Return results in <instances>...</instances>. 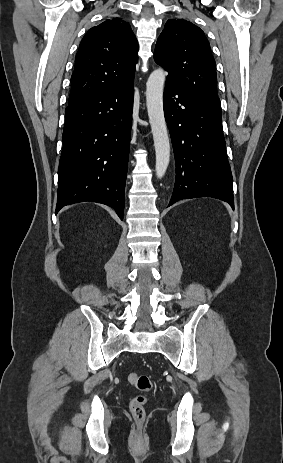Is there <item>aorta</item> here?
I'll return each mask as SVG.
<instances>
[{"instance_id":"obj_1","label":"aorta","mask_w":283,"mask_h":463,"mask_svg":"<svg viewBox=\"0 0 283 463\" xmlns=\"http://www.w3.org/2000/svg\"><path fill=\"white\" fill-rule=\"evenodd\" d=\"M165 71L154 70L146 83V105L156 153V176L162 178L170 161V143L163 111Z\"/></svg>"}]
</instances>
